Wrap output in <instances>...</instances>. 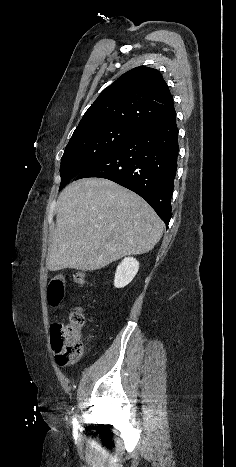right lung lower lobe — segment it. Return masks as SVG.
Here are the masks:
<instances>
[{
	"label": "right lung lower lobe",
	"mask_w": 236,
	"mask_h": 467,
	"mask_svg": "<svg viewBox=\"0 0 236 467\" xmlns=\"http://www.w3.org/2000/svg\"><path fill=\"white\" fill-rule=\"evenodd\" d=\"M177 157L178 128L174 111L137 130L75 180L101 177L114 181L144 198L168 225Z\"/></svg>",
	"instance_id": "98d812e1"
}]
</instances>
